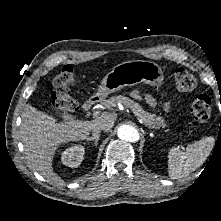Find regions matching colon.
<instances>
[{"label":"colon","instance_id":"colon-1","mask_svg":"<svg viewBox=\"0 0 221 221\" xmlns=\"http://www.w3.org/2000/svg\"><path fill=\"white\" fill-rule=\"evenodd\" d=\"M175 85L182 92H190L197 87L196 78L188 71L180 69L174 76ZM76 84L75 69L72 65L64 66L53 81L51 105L59 117L73 113L77 103L70 93V88ZM212 103L207 95H200L190 104V112L195 120L206 121L211 114Z\"/></svg>","mask_w":221,"mask_h":221}]
</instances>
